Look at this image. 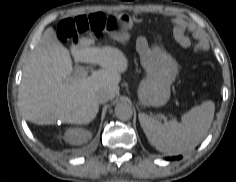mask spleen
<instances>
[{"label":"spleen","mask_w":236,"mask_h":182,"mask_svg":"<svg viewBox=\"0 0 236 182\" xmlns=\"http://www.w3.org/2000/svg\"><path fill=\"white\" fill-rule=\"evenodd\" d=\"M214 117V103L206 101L182 115V122L172 119L162 123L139 113L140 125L148 141L158 151L177 155L191 150L206 136Z\"/></svg>","instance_id":"spleen-1"}]
</instances>
